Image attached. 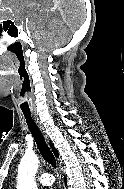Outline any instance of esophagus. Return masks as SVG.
<instances>
[{"label":"esophagus","instance_id":"esophagus-1","mask_svg":"<svg viewBox=\"0 0 124 189\" xmlns=\"http://www.w3.org/2000/svg\"><path fill=\"white\" fill-rule=\"evenodd\" d=\"M33 117H34L36 123L38 124L39 128L42 130V132L45 133L44 128H43V126L41 125V123L39 122L37 116L34 114ZM45 137H46V135H45Z\"/></svg>","mask_w":124,"mask_h":189}]
</instances>
